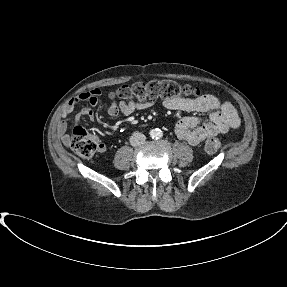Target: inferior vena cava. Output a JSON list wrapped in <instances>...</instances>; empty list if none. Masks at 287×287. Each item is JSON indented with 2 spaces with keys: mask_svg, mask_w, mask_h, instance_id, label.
I'll use <instances>...</instances> for the list:
<instances>
[{
  "mask_svg": "<svg viewBox=\"0 0 287 287\" xmlns=\"http://www.w3.org/2000/svg\"><path fill=\"white\" fill-rule=\"evenodd\" d=\"M146 140V136L142 133L135 132L130 137V144L132 146H140L142 145Z\"/></svg>",
  "mask_w": 287,
  "mask_h": 287,
  "instance_id": "obj_1",
  "label": "inferior vena cava"
}]
</instances>
